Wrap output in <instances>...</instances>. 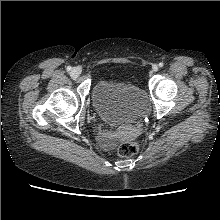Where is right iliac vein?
Wrapping results in <instances>:
<instances>
[{
    "instance_id": "1",
    "label": "right iliac vein",
    "mask_w": 220,
    "mask_h": 220,
    "mask_svg": "<svg viewBox=\"0 0 220 220\" xmlns=\"http://www.w3.org/2000/svg\"><path fill=\"white\" fill-rule=\"evenodd\" d=\"M81 69L79 67H74L71 70V76L78 77L80 75Z\"/></svg>"
}]
</instances>
